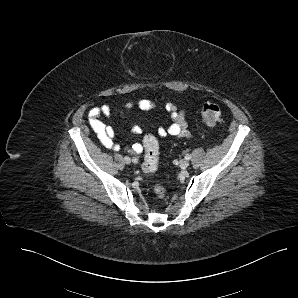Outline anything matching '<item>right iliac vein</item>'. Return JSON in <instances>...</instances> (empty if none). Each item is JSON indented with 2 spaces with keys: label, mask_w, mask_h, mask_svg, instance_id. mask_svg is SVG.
<instances>
[{
  "label": "right iliac vein",
  "mask_w": 298,
  "mask_h": 298,
  "mask_svg": "<svg viewBox=\"0 0 298 298\" xmlns=\"http://www.w3.org/2000/svg\"><path fill=\"white\" fill-rule=\"evenodd\" d=\"M124 162H125L126 164H130V163H131V159H130V157H128V156L124 157Z\"/></svg>",
  "instance_id": "1"
}]
</instances>
